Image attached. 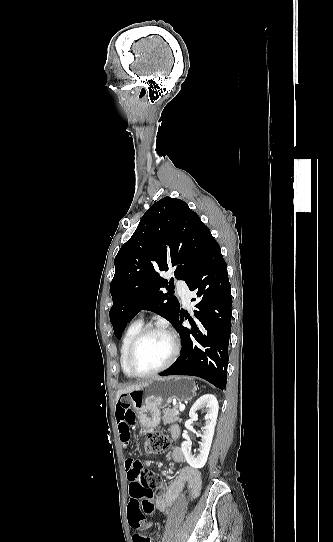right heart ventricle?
Segmentation results:
<instances>
[{
	"mask_svg": "<svg viewBox=\"0 0 333 542\" xmlns=\"http://www.w3.org/2000/svg\"><path fill=\"white\" fill-rule=\"evenodd\" d=\"M143 321L136 320L132 322L128 328L126 329L124 336L122 338L121 343V349H120V367L123 372V374L126 377H131L128 370H127V354L130 347V344L134 340V338L137 336V334L141 331L143 328Z\"/></svg>",
	"mask_w": 333,
	"mask_h": 542,
	"instance_id": "right-heart-ventricle-1",
	"label": "right heart ventricle"
}]
</instances>
